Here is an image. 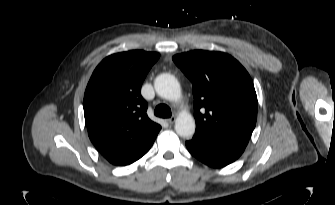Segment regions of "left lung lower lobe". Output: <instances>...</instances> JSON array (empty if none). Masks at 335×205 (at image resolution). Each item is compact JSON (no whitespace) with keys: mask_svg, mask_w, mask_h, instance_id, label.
<instances>
[{"mask_svg":"<svg viewBox=\"0 0 335 205\" xmlns=\"http://www.w3.org/2000/svg\"><path fill=\"white\" fill-rule=\"evenodd\" d=\"M189 152L208 166L224 167L243 153V147L225 145L207 138L194 135L192 140L186 142Z\"/></svg>","mask_w":335,"mask_h":205,"instance_id":"0a47b994","label":"left lung lower lobe"}]
</instances>
